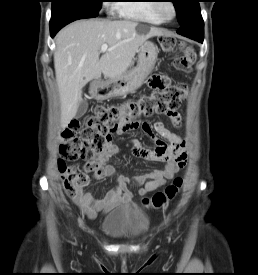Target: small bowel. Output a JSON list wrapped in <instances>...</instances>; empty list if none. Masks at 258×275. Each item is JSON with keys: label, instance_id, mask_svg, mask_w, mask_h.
<instances>
[{"label": "small bowel", "instance_id": "1", "mask_svg": "<svg viewBox=\"0 0 258 275\" xmlns=\"http://www.w3.org/2000/svg\"><path fill=\"white\" fill-rule=\"evenodd\" d=\"M156 77L166 85L169 84L167 77L153 76L151 79ZM168 116L176 127L181 126L182 115L179 112L173 111ZM138 128H141L155 142L156 147L151 150L145 149L137 139H132L129 142L131 153L153 162H163L164 168L132 178L118 174L115 168L108 164V160L117 154L119 149L112 141L107 142L103 150L93 154L91 161L85 164V169L87 172H93L95 180L114 179L115 186L100 199H94L89 192L79 193L74 199L81 212L89 218L94 219L98 212L107 213L118 205L130 203L134 198V194L129 190L130 184L143 185L138 194L145 195L164 185L184 167L187 159V145L179 134L169 131L159 122L151 124L141 121L138 123ZM125 132L127 131H121L120 134Z\"/></svg>", "mask_w": 258, "mask_h": 275}]
</instances>
